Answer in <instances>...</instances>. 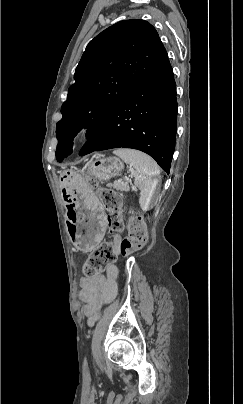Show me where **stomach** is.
I'll use <instances>...</instances> for the list:
<instances>
[{"label": "stomach", "instance_id": "obj_1", "mask_svg": "<svg viewBox=\"0 0 243 404\" xmlns=\"http://www.w3.org/2000/svg\"><path fill=\"white\" fill-rule=\"evenodd\" d=\"M123 167V162L117 157L98 158L89 164L88 172L99 181H107L118 176ZM60 182L68 209L67 232L78 250L90 251L105 234L104 208L80 173L67 170L61 175Z\"/></svg>", "mask_w": 243, "mask_h": 404}]
</instances>
